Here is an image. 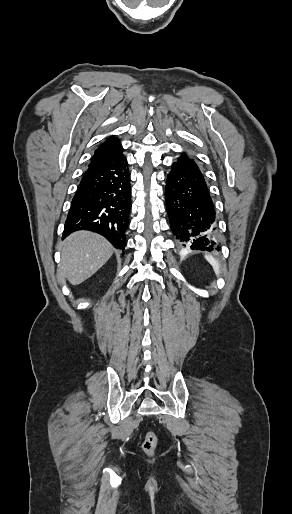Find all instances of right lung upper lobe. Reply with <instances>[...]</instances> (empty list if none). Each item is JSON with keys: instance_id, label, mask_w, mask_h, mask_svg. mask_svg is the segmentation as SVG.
I'll return each mask as SVG.
<instances>
[{"instance_id": "right-lung-upper-lobe-1", "label": "right lung upper lobe", "mask_w": 292, "mask_h": 514, "mask_svg": "<svg viewBox=\"0 0 292 514\" xmlns=\"http://www.w3.org/2000/svg\"><path fill=\"white\" fill-rule=\"evenodd\" d=\"M121 154H123V148L118 139L110 137L95 150L91 163H102Z\"/></svg>"}]
</instances>
